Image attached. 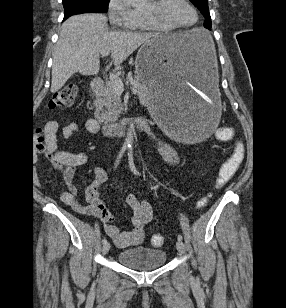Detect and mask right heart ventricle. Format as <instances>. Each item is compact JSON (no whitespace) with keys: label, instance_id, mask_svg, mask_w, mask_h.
<instances>
[{"label":"right heart ventricle","instance_id":"e07e8e85","mask_svg":"<svg viewBox=\"0 0 286 308\" xmlns=\"http://www.w3.org/2000/svg\"><path fill=\"white\" fill-rule=\"evenodd\" d=\"M131 30L138 32H170L173 29L157 24L146 15V12L137 10L136 21Z\"/></svg>","mask_w":286,"mask_h":308}]
</instances>
